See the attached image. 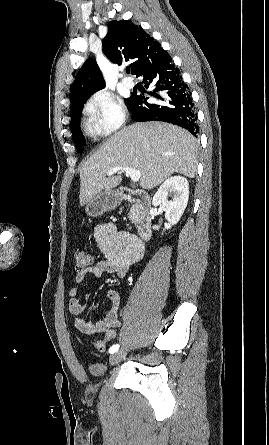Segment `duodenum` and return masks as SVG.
Here are the masks:
<instances>
[{
  "label": "duodenum",
  "mask_w": 269,
  "mask_h": 445,
  "mask_svg": "<svg viewBox=\"0 0 269 445\" xmlns=\"http://www.w3.org/2000/svg\"><path fill=\"white\" fill-rule=\"evenodd\" d=\"M121 200L133 202L137 207L136 226L140 240L147 241L152 234L151 198L143 190L122 188L119 193Z\"/></svg>",
  "instance_id": "1"
}]
</instances>
